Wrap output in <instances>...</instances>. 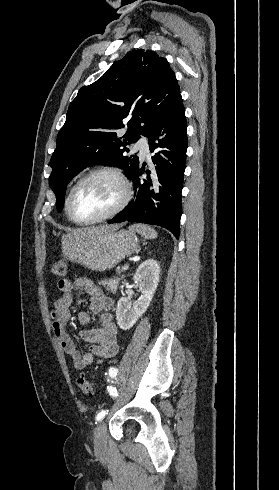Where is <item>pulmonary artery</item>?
Here are the masks:
<instances>
[{"mask_svg": "<svg viewBox=\"0 0 279 490\" xmlns=\"http://www.w3.org/2000/svg\"><path fill=\"white\" fill-rule=\"evenodd\" d=\"M134 148L141 150L142 154L147 156L149 153L148 144L144 141H138Z\"/></svg>", "mask_w": 279, "mask_h": 490, "instance_id": "obj_1", "label": "pulmonary artery"}]
</instances>
